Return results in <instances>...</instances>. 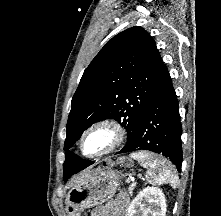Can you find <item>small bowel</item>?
Here are the masks:
<instances>
[{"label": "small bowel", "instance_id": "small-bowel-1", "mask_svg": "<svg viewBox=\"0 0 221 216\" xmlns=\"http://www.w3.org/2000/svg\"><path fill=\"white\" fill-rule=\"evenodd\" d=\"M128 198L124 193L108 204L94 209L91 216H126Z\"/></svg>", "mask_w": 221, "mask_h": 216}]
</instances>
